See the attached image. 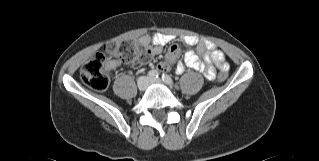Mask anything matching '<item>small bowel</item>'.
<instances>
[{
    "label": "small bowel",
    "instance_id": "c3829d8e",
    "mask_svg": "<svg viewBox=\"0 0 319 161\" xmlns=\"http://www.w3.org/2000/svg\"><path fill=\"white\" fill-rule=\"evenodd\" d=\"M171 38L162 33H154L150 36H146L140 39V43L149 48L151 56L159 55L163 48L162 46L167 44ZM183 41L188 46L197 45L196 49H188L184 54L183 61L177 63L176 72L182 74L185 71V67H189L198 71H202L204 77L212 81L216 78V67L224 71L229 70V65L225 60L224 53L217 49L212 43L207 41H198L194 36H185ZM198 55H202V60ZM177 54L170 51L167 54L166 60L159 63V68L162 70L169 69L170 63L175 60ZM117 63L111 64L112 68L117 67Z\"/></svg>",
    "mask_w": 319,
    "mask_h": 161
}]
</instances>
